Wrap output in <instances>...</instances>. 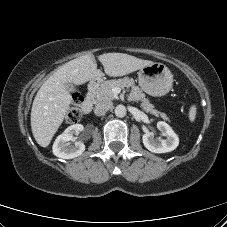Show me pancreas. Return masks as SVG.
I'll use <instances>...</instances> for the list:
<instances>
[{
    "label": "pancreas",
    "mask_w": 227,
    "mask_h": 227,
    "mask_svg": "<svg viewBox=\"0 0 227 227\" xmlns=\"http://www.w3.org/2000/svg\"><path fill=\"white\" fill-rule=\"evenodd\" d=\"M124 88V87H134V81L132 79H129L128 77H125L123 79L119 80H108L103 82L100 87H98L94 92L93 95L96 99V101H103V100H113L117 99V95L113 93V88ZM141 108L152 115L160 116L162 119L169 121V118L165 113H162L156 109H154V106L149 102L148 99L144 97V95L141 96Z\"/></svg>",
    "instance_id": "pancreas-1"
}]
</instances>
